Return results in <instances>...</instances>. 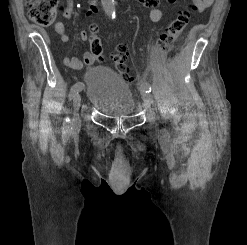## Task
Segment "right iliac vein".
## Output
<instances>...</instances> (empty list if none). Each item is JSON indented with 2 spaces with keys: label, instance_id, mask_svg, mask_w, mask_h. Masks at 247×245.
<instances>
[{
  "label": "right iliac vein",
  "instance_id": "right-iliac-vein-1",
  "mask_svg": "<svg viewBox=\"0 0 247 245\" xmlns=\"http://www.w3.org/2000/svg\"><path fill=\"white\" fill-rule=\"evenodd\" d=\"M80 103H81V96L79 93H77L73 97V106H74L73 126L74 127H78L80 125V117L78 114Z\"/></svg>",
  "mask_w": 247,
  "mask_h": 245
}]
</instances>
